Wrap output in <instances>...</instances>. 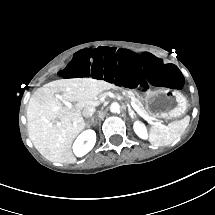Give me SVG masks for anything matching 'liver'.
Instances as JSON below:
<instances>
[{"instance_id":"6515ba94","label":"liver","mask_w":215,"mask_h":215,"mask_svg":"<svg viewBox=\"0 0 215 215\" xmlns=\"http://www.w3.org/2000/svg\"><path fill=\"white\" fill-rule=\"evenodd\" d=\"M110 83L93 78H70L49 82L31 96L27 108V129L34 147L46 159L59 163H76L72 143L85 128L81 111L86 106H99V95L110 89ZM75 102L63 106L54 96Z\"/></svg>"}]
</instances>
